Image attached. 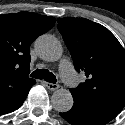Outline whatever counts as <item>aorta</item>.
<instances>
[{
    "instance_id": "1",
    "label": "aorta",
    "mask_w": 125,
    "mask_h": 125,
    "mask_svg": "<svg viewBox=\"0 0 125 125\" xmlns=\"http://www.w3.org/2000/svg\"><path fill=\"white\" fill-rule=\"evenodd\" d=\"M35 47L39 56L50 62L59 60L63 53L60 41L52 35L40 36L35 42ZM51 102L56 111L67 112L73 106V97L70 91L62 88L54 91Z\"/></svg>"
}]
</instances>
